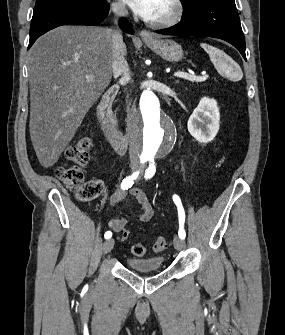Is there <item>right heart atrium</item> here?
<instances>
[{
  "instance_id": "right-heart-atrium-1",
  "label": "right heart atrium",
  "mask_w": 285,
  "mask_h": 335,
  "mask_svg": "<svg viewBox=\"0 0 285 335\" xmlns=\"http://www.w3.org/2000/svg\"><path fill=\"white\" fill-rule=\"evenodd\" d=\"M110 9L114 16L119 19L126 18L128 15L127 7L121 1H112L110 3Z\"/></svg>"
}]
</instances>
